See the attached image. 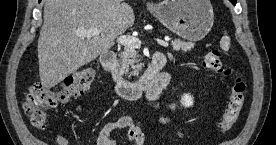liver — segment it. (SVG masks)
<instances>
[{
  "label": "liver",
  "instance_id": "liver-1",
  "mask_svg": "<svg viewBox=\"0 0 276 145\" xmlns=\"http://www.w3.org/2000/svg\"><path fill=\"white\" fill-rule=\"evenodd\" d=\"M38 39L39 76L45 89L110 49L134 24L132 8L122 0H45ZM97 28L83 38L76 31Z\"/></svg>",
  "mask_w": 276,
  "mask_h": 145
}]
</instances>
